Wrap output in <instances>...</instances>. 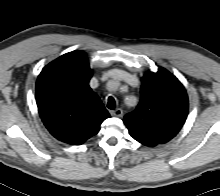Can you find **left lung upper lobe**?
I'll use <instances>...</instances> for the list:
<instances>
[{"label": "left lung upper lobe", "mask_w": 220, "mask_h": 196, "mask_svg": "<svg viewBox=\"0 0 220 196\" xmlns=\"http://www.w3.org/2000/svg\"><path fill=\"white\" fill-rule=\"evenodd\" d=\"M188 98L180 81L164 68L142 77L141 99L135 111L124 117L132 137L148 147L167 143L185 123Z\"/></svg>", "instance_id": "5c2ea615"}]
</instances>
